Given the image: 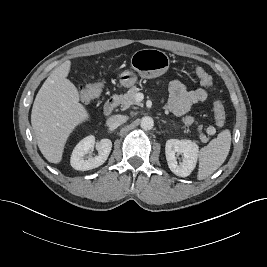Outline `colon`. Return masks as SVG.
Wrapping results in <instances>:
<instances>
[{
    "instance_id": "obj_1",
    "label": "colon",
    "mask_w": 267,
    "mask_h": 267,
    "mask_svg": "<svg viewBox=\"0 0 267 267\" xmlns=\"http://www.w3.org/2000/svg\"><path fill=\"white\" fill-rule=\"evenodd\" d=\"M195 73L202 85L212 89V77L201 67H196ZM103 89L102 83H92L85 85L80 90L81 102L89 104L94 99L98 98ZM214 119L216 125L222 127L226 121V111L223 103L219 99L213 102Z\"/></svg>"
}]
</instances>
